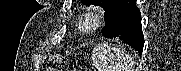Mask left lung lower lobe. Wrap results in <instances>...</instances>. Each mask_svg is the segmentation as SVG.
Returning a JSON list of instances; mask_svg holds the SVG:
<instances>
[{
  "mask_svg": "<svg viewBox=\"0 0 181 71\" xmlns=\"http://www.w3.org/2000/svg\"><path fill=\"white\" fill-rule=\"evenodd\" d=\"M135 3L136 0H117L104 14L106 24L102 34L107 38H120L141 55L144 36L141 29V13Z\"/></svg>",
  "mask_w": 181,
  "mask_h": 71,
  "instance_id": "left-lung-lower-lobe-1",
  "label": "left lung lower lobe"
}]
</instances>
